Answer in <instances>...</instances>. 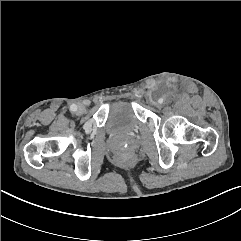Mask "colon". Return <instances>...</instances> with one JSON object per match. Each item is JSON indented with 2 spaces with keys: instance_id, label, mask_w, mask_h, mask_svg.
<instances>
[{
  "instance_id": "obj_1",
  "label": "colon",
  "mask_w": 241,
  "mask_h": 241,
  "mask_svg": "<svg viewBox=\"0 0 241 241\" xmlns=\"http://www.w3.org/2000/svg\"><path fill=\"white\" fill-rule=\"evenodd\" d=\"M121 159H122V160H126L127 157H126V156H121Z\"/></svg>"
}]
</instances>
